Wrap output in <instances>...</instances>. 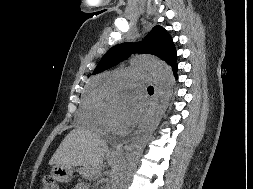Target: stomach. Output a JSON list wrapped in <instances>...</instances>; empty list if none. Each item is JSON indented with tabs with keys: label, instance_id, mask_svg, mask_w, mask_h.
I'll return each instance as SVG.
<instances>
[{
	"label": "stomach",
	"instance_id": "obj_1",
	"mask_svg": "<svg viewBox=\"0 0 253 189\" xmlns=\"http://www.w3.org/2000/svg\"><path fill=\"white\" fill-rule=\"evenodd\" d=\"M53 178L60 183H68L73 177V167L72 166H60L55 165L52 168Z\"/></svg>",
	"mask_w": 253,
	"mask_h": 189
}]
</instances>
